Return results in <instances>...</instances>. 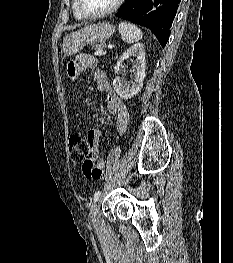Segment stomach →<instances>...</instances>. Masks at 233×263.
Masks as SVG:
<instances>
[{
  "mask_svg": "<svg viewBox=\"0 0 233 263\" xmlns=\"http://www.w3.org/2000/svg\"><path fill=\"white\" fill-rule=\"evenodd\" d=\"M116 32V27L108 22H102L72 32L63 39L62 50L65 56L80 52L86 44L105 42Z\"/></svg>",
  "mask_w": 233,
  "mask_h": 263,
  "instance_id": "0dacf381",
  "label": "stomach"
}]
</instances>
